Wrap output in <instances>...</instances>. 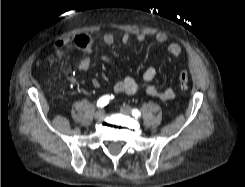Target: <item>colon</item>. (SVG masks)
Returning a JSON list of instances; mask_svg holds the SVG:
<instances>
[{"instance_id":"colon-1","label":"colon","mask_w":245,"mask_h":187,"mask_svg":"<svg viewBox=\"0 0 245 187\" xmlns=\"http://www.w3.org/2000/svg\"><path fill=\"white\" fill-rule=\"evenodd\" d=\"M178 80L180 88L185 90L189 82V72L186 69L181 70L178 76Z\"/></svg>"}]
</instances>
